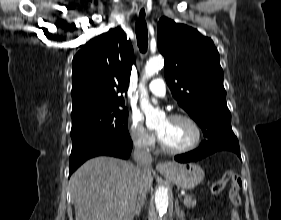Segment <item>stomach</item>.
Segmentation results:
<instances>
[{"label":"stomach","mask_w":281,"mask_h":220,"mask_svg":"<svg viewBox=\"0 0 281 220\" xmlns=\"http://www.w3.org/2000/svg\"><path fill=\"white\" fill-rule=\"evenodd\" d=\"M182 189L195 188L204 178L203 169L195 163H171L169 170L161 172Z\"/></svg>","instance_id":"obj_1"}]
</instances>
